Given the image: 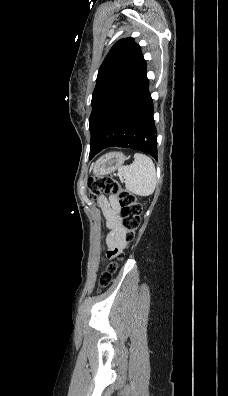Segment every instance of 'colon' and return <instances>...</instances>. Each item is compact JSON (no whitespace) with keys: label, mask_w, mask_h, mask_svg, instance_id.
<instances>
[{"label":"colon","mask_w":228,"mask_h":396,"mask_svg":"<svg viewBox=\"0 0 228 396\" xmlns=\"http://www.w3.org/2000/svg\"><path fill=\"white\" fill-rule=\"evenodd\" d=\"M87 187L91 197L96 198L100 194H114L118 197L121 206V226L125 232V239L131 242L135 238L136 230L140 224L141 205L136 198L122 185L110 176L91 177L87 181ZM121 250L109 249L106 257L109 260L121 258ZM116 270V264L111 262L104 274L101 276V286H107L112 274Z\"/></svg>","instance_id":"colon-1"}]
</instances>
